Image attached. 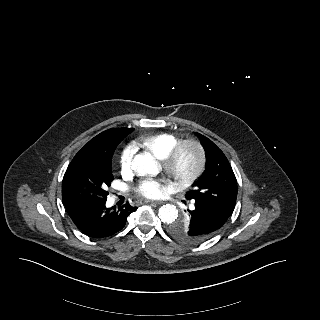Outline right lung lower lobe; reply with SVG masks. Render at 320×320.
<instances>
[{
  "instance_id": "1",
  "label": "right lung lower lobe",
  "mask_w": 320,
  "mask_h": 320,
  "mask_svg": "<svg viewBox=\"0 0 320 320\" xmlns=\"http://www.w3.org/2000/svg\"><path fill=\"white\" fill-rule=\"evenodd\" d=\"M103 202L84 204H65L66 210L77 228L90 238L99 239L111 236L126 224L127 217L137 207L126 203L116 209L115 206L106 208Z\"/></svg>"
}]
</instances>
